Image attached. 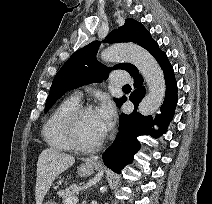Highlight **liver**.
<instances>
[{
	"instance_id": "6515ba94",
	"label": "liver",
	"mask_w": 212,
	"mask_h": 204,
	"mask_svg": "<svg viewBox=\"0 0 212 204\" xmlns=\"http://www.w3.org/2000/svg\"><path fill=\"white\" fill-rule=\"evenodd\" d=\"M75 162V158L55 149H44L37 162V179L35 187L36 204L42 201L55 178L66 171Z\"/></svg>"
}]
</instances>
